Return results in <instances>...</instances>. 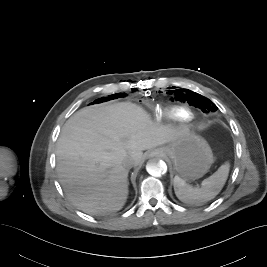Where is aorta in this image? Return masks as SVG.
<instances>
[{
    "label": "aorta",
    "instance_id": "aorta-1",
    "mask_svg": "<svg viewBox=\"0 0 267 267\" xmlns=\"http://www.w3.org/2000/svg\"><path fill=\"white\" fill-rule=\"evenodd\" d=\"M146 170L150 175L159 177L166 173L167 165L164 161L158 158H153L147 162Z\"/></svg>",
    "mask_w": 267,
    "mask_h": 267
}]
</instances>
